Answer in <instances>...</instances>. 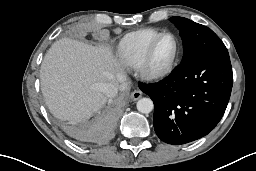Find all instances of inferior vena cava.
Instances as JSON below:
<instances>
[{
    "label": "inferior vena cava",
    "mask_w": 256,
    "mask_h": 171,
    "mask_svg": "<svg viewBox=\"0 0 256 171\" xmlns=\"http://www.w3.org/2000/svg\"><path fill=\"white\" fill-rule=\"evenodd\" d=\"M102 91L107 97L112 98L117 95L118 88L113 83H105L102 86Z\"/></svg>",
    "instance_id": "602c4592"
}]
</instances>
